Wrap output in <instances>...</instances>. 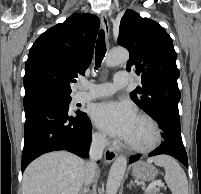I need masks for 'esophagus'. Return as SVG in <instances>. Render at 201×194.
Wrapping results in <instances>:
<instances>
[{
	"mask_svg": "<svg viewBox=\"0 0 201 194\" xmlns=\"http://www.w3.org/2000/svg\"><path fill=\"white\" fill-rule=\"evenodd\" d=\"M101 22H102V26L104 29V33H105V37L108 40L110 37V25H109V20H108V15L107 13L103 12L101 13ZM117 153L111 149V148H106L104 151V161L107 164H110L114 161V159L116 158Z\"/></svg>",
	"mask_w": 201,
	"mask_h": 194,
	"instance_id": "1",
	"label": "esophagus"
}]
</instances>
